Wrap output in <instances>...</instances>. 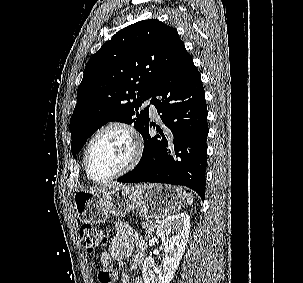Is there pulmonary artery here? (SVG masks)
I'll use <instances>...</instances> for the list:
<instances>
[{
	"label": "pulmonary artery",
	"mask_w": 303,
	"mask_h": 283,
	"mask_svg": "<svg viewBox=\"0 0 303 283\" xmlns=\"http://www.w3.org/2000/svg\"><path fill=\"white\" fill-rule=\"evenodd\" d=\"M144 108H149L150 113L153 117H158V113H157V109L154 105V103H152L151 99H147L144 101L143 105Z\"/></svg>",
	"instance_id": "obj_1"
}]
</instances>
